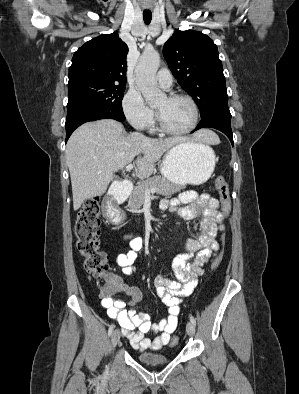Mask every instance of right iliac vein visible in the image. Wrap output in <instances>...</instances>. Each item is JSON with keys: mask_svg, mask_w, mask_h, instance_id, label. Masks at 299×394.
Listing matches in <instances>:
<instances>
[{"mask_svg": "<svg viewBox=\"0 0 299 394\" xmlns=\"http://www.w3.org/2000/svg\"><path fill=\"white\" fill-rule=\"evenodd\" d=\"M119 340H120V331L119 329H116L111 337L112 348H114L117 345Z\"/></svg>", "mask_w": 299, "mask_h": 394, "instance_id": "right-iliac-vein-1", "label": "right iliac vein"}]
</instances>
